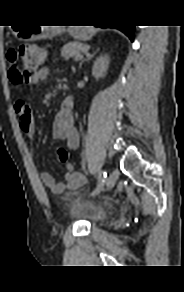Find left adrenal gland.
<instances>
[{"instance_id": "a2214340", "label": "left adrenal gland", "mask_w": 184, "mask_h": 292, "mask_svg": "<svg viewBox=\"0 0 184 292\" xmlns=\"http://www.w3.org/2000/svg\"><path fill=\"white\" fill-rule=\"evenodd\" d=\"M98 50H99V49H97V51H98ZM94 55H95V52H94L93 54H88V55H86V58L83 59V60L80 62V64H79V68L81 69L83 62L92 59V58L94 57Z\"/></svg>"}]
</instances>
